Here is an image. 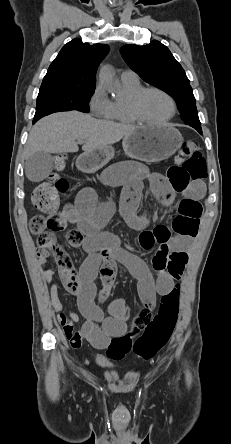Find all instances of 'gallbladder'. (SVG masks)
<instances>
[{
    "mask_svg": "<svg viewBox=\"0 0 231 444\" xmlns=\"http://www.w3.org/2000/svg\"><path fill=\"white\" fill-rule=\"evenodd\" d=\"M53 169V160L47 152H36L27 158L25 173L27 178L33 182L45 179Z\"/></svg>",
    "mask_w": 231,
    "mask_h": 444,
    "instance_id": "obj_1",
    "label": "gallbladder"
}]
</instances>
